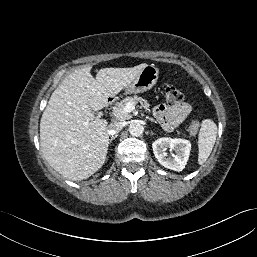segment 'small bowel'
Segmentation results:
<instances>
[{
  "mask_svg": "<svg viewBox=\"0 0 257 257\" xmlns=\"http://www.w3.org/2000/svg\"><path fill=\"white\" fill-rule=\"evenodd\" d=\"M191 112V106L186 102L174 105L161 104L155 107L154 114L166 130H173L186 119Z\"/></svg>",
  "mask_w": 257,
  "mask_h": 257,
  "instance_id": "obj_1",
  "label": "small bowel"
}]
</instances>
